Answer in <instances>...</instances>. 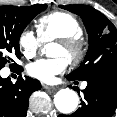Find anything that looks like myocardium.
<instances>
[{"mask_svg": "<svg viewBox=\"0 0 117 117\" xmlns=\"http://www.w3.org/2000/svg\"><path fill=\"white\" fill-rule=\"evenodd\" d=\"M58 43L66 50L68 61L73 65L80 64L86 54L83 41L79 37H66L58 39Z\"/></svg>", "mask_w": 117, "mask_h": 117, "instance_id": "f54148a6", "label": "myocardium"}]
</instances>
